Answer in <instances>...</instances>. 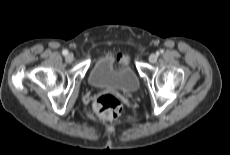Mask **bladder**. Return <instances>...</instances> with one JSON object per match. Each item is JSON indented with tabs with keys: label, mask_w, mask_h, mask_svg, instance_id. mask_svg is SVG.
<instances>
[{
	"label": "bladder",
	"mask_w": 230,
	"mask_h": 155,
	"mask_svg": "<svg viewBox=\"0 0 230 155\" xmlns=\"http://www.w3.org/2000/svg\"><path fill=\"white\" fill-rule=\"evenodd\" d=\"M88 81L95 88H109L130 94L139 89V78L130 66L115 67V56L104 54L93 64Z\"/></svg>",
	"instance_id": "obj_1"
}]
</instances>
